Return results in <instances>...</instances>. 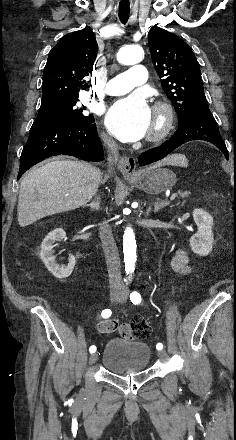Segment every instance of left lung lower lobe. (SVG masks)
<instances>
[{
	"label": "left lung lower lobe",
	"mask_w": 236,
	"mask_h": 440,
	"mask_svg": "<svg viewBox=\"0 0 236 440\" xmlns=\"http://www.w3.org/2000/svg\"><path fill=\"white\" fill-rule=\"evenodd\" d=\"M192 140H205L217 146L228 159L226 145L219 133L218 125L209 110L204 107L195 110L182 124L172 138L157 148L150 149L142 153L138 162L140 166H145L156 162L180 145Z\"/></svg>",
	"instance_id": "obj_1"
}]
</instances>
